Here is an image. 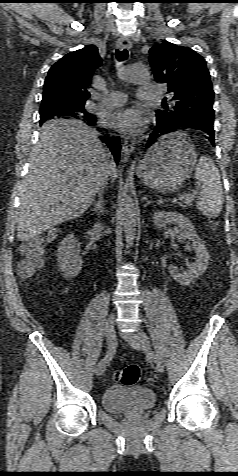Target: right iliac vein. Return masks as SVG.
I'll list each match as a JSON object with an SVG mask.
<instances>
[{
	"instance_id": "1",
	"label": "right iliac vein",
	"mask_w": 238,
	"mask_h": 476,
	"mask_svg": "<svg viewBox=\"0 0 238 476\" xmlns=\"http://www.w3.org/2000/svg\"><path fill=\"white\" fill-rule=\"evenodd\" d=\"M114 324H115V315L114 314H111L106 322V326H105V339H106V345L107 347L109 348L108 346V343H107V337L111 334L112 336L115 337V332H114ZM111 332L110 334L108 332ZM116 339V338H115ZM106 360H105V357L103 359L100 360V362L96 365V368H95V374L97 376H100L103 374V372L105 371V368H106Z\"/></svg>"
}]
</instances>
